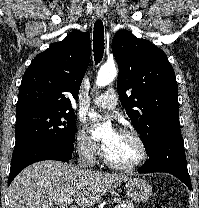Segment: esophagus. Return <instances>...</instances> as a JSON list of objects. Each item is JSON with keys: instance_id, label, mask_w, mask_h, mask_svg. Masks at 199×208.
Instances as JSON below:
<instances>
[{"instance_id": "esophagus-1", "label": "esophagus", "mask_w": 199, "mask_h": 208, "mask_svg": "<svg viewBox=\"0 0 199 208\" xmlns=\"http://www.w3.org/2000/svg\"><path fill=\"white\" fill-rule=\"evenodd\" d=\"M95 14L98 17H103V14H104L103 9L101 7L95 8Z\"/></svg>"}]
</instances>
